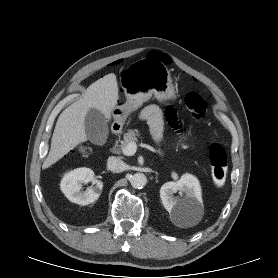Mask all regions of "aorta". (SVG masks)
<instances>
[{
	"label": "aorta",
	"instance_id": "762f6f07",
	"mask_svg": "<svg viewBox=\"0 0 278 278\" xmlns=\"http://www.w3.org/2000/svg\"><path fill=\"white\" fill-rule=\"evenodd\" d=\"M147 182V178L143 173H135L130 179V183L135 189H142Z\"/></svg>",
	"mask_w": 278,
	"mask_h": 278
}]
</instances>
